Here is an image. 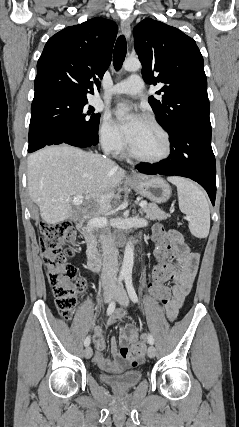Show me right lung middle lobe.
<instances>
[{
  "mask_svg": "<svg viewBox=\"0 0 239 427\" xmlns=\"http://www.w3.org/2000/svg\"><path fill=\"white\" fill-rule=\"evenodd\" d=\"M86 105L87 99L67 96L33 99L28 149L57 140L97 142L100 114H94V108Z\"/></svg>",
  "mask_w": 239,
  "mask_h": 427,
  "instance_id": "dd1d6c3e",
  "label": "right lung middle lobe"
}]
</instances>
